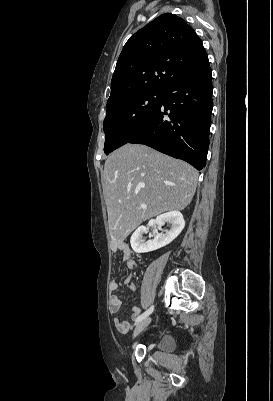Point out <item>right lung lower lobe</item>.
<instances>
[{"label": "right lung lower lobe", "instance_id": "obj_1", "mask_svg": "<svg viewBox=\"0 0 273 401\" xmlns=\"http://www.w3.org/2000/svg\"><path fill=\"white\" fill-rule=\"evenodd\" d=\"M211 78L207 62L169 84L158 108L127 143L150 146L198 170L205 167L213 108Z\"/></svg>", "mask_w": 273, "mask_h": 401}]
</instances>
